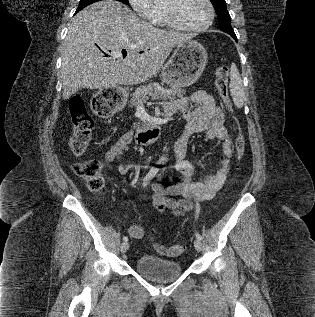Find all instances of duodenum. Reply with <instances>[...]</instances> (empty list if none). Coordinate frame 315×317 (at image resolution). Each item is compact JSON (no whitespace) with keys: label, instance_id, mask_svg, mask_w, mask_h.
I'll use <instances>...</instances> for the list:
<instances>
[{"label":"duodenum","instance_id":"duodenum-1","mask_svg":"<svg viewBox=\"0 0 315 317\" xmlns=\"http://www.w3.org/2000/svg\"><path fill=\"white\" fill-rule=\"evenodd\" d=\"M172 113L166 111V115H171ZM162 131V125L160 121H154L149 123L146 127L139 130L136 134V142L140 145H146L154 140H156Z\"/></svg>","mask_w":315,"mask_h":317}]
</instances>
